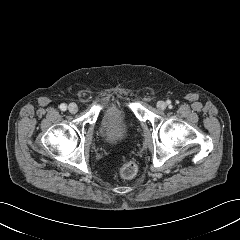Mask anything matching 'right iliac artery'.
<instances>
[{
	"instance_id": "right-iliac-artery-1",
	"label": "right iliac artery",
	"mask_w": 240,
	"mask_h": 240,
	"mask_svg": "<svg viewBox=\"0 0 240 240\" xmlns=\"http://www.w3.org/2000/svg\"><path fill=\"white\" fill-rule=\"evenodd\" d=\"M60 109H61L62 111H65V110L67 109V105H66V104H61V105H60Z\"/></svg>"
}]
</instances>
